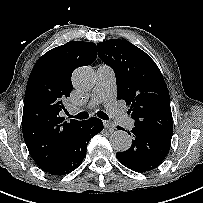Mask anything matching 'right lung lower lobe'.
Instances as JSON below:
<instances>
[{
  "label": "right lung lower lobe",
  "instance_id": "98d812e1",
  "mask_svg": "<svg viewBox=\"0 0 203 203\" xmlns=\"http://www.w3.org/2000/svg\"><path fill=\"white\" fill-rule=\"evenodd\" d=\"M102 130L103 123L96 117L82 121L73 128L56 163L43 171L51 175L62 176L75 170L86 156L87 144L91 137Z\"/></svg>",
  "mask_w": 203,
  "mask_h": 203
}]
</instances>
